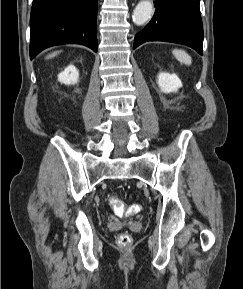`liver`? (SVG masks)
<instances>
[{
    "instance_id": "1",
    "label": "liver",
    "mask_w": 243,
    "mask_h": 289,
    "mask_svg": "<svg viewBox=\"0 0 243 289\" xmlns=\"http://www.w3.org/2000/svg\"><path fill=\"white\" fill-rule=\"evenodd\" d=\"M56 54H57V52H54V53L50 54V55L47 57V59H49V58H51V57H54Z\"/></svg>"
}]
</instances>
